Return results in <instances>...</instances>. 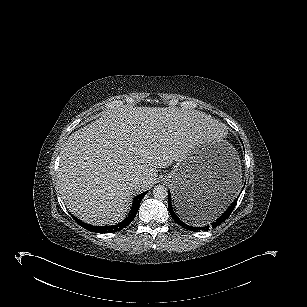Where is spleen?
Returning <instances> with one entry per match:
<instances>
[{
    "label": "spleen",
    "instance_id": "3e777b00",
    "mask_svg": "<svg viewBox=\"0 0 307 307\" xmlns=\"http://www.w3.org/2000/svg\"><path fill=\"white\" fill-rule=\"evenodd\" d=\"M224 209L225 208H221V207H212V208H208L207 210H202L201 212L196 214L191 219H188L189 223L193 225H201L204 222H207V221H210L216 218L220 213H222Z\"/></svg>",
    "mask_w": 307,
    "mask_h": 307
}]
</instances>
